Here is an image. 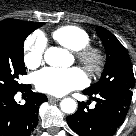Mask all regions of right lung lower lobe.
<instances>
[{
  "mask_svg": "<svg viewBox=\"0 0 136 136\" xmlns=\"http://www.w3.org/2000/svg\"><path fill=\"white\" fill-rule=\"evenodd\" d=\"M31 85H23L20 92H27L26 103L18 104L14 95L18 92L0 93V136H27L38 123V109L47 101L44 94L33 93Z\"/></svg>",
  "mask_w": 136,
  "mask_h": 136,
  "instance_id": "1",
  "label": "right lung lower lobe"
}]
</instances>
